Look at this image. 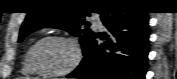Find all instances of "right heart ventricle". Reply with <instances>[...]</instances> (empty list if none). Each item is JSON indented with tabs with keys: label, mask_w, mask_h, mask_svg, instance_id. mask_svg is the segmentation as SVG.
Listing matches in <instances>:
<instances>
[{
	"label": "right heart ventricle",
	"mask_w": 177,
	"mask_h": 79,
	"mask_svg": "<svg viewBox=\"0 0 177 79\" xmlns=\"http://www.w3.org/2000/svg\"><path fill=\"white\" fill-rule=\"evenodd\" d=\"M30 49L31 47L27 50L25 54L24 61L22 64V72L27 75H36L38 73L33 69L30 63Z\"/></svg>",
	"instance_id": "obj_1"
}]
</instances>
